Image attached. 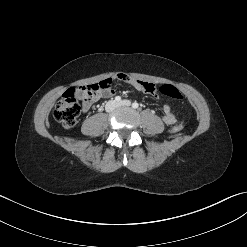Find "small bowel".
Masks as SVG:
<instances>
[{
  "mask_svg": "<svg viewBox=\"0 0 247 247\" xmlns=\"http://www.w3.org/2000/svg\"><path fill=\"white\" fill-rule=\"evenodd\" d=\"M119 79L124 80L125 82L129 83L131 86L134 87V89L138 92H146V93H151V94H155L156 93V88L152 83L146 82V81H142V80H138V79H134L126 74H120L118 76ZM115 93L114 89L111 87L109 90L103 92L99 98H103V97H111L113 96ZM78 97L83 101V110L85 112H87L92 104L94 102H91L89 100H87V98L85 97V95L82 92L78 93ZM98 98V99H99ZM163 121L167 124V125H171L174 124L176 122V117L175 114L173 113L171 107L169 104H165L163 106Z\"/></svg>",
  "mask_w": 247,
  "mask_h": 247,
  "instance_id": "obj_1",
  "label": "small bowel"
}]
</instances>
